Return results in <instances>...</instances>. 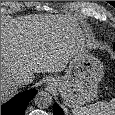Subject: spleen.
Wrapping results in <instances>:
<instances>
[{
  "mask_svg": "<svg viewBox=\"0 0 115 115\" xmlns=\"http://www.w3.org/2000/svg\"><path fill=\"white\" fill-rule=\"evenodd\" d=\"M73 115H115V98L84 107L74 108Z\"/></svg>",
  "mask_w": 115,
  "mask_h": 115,
  "instance_id": "spleen-1",
  "label": "spleen"
}]
</instances>
